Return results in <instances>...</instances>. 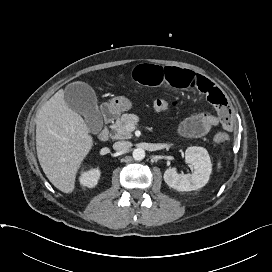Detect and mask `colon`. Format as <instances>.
Segmentation results:
<instances>
[{
	"mask_svg": "<svg viewBox=\"0 0 272 272\" xmlns=\"http://www.w3.org/2000/svg\"><path fill=\"white\" fill-rule=\"evenodd\" d=\"M177 105L176 101H168L165 99H156L152 102V107L156 111H164ZM228 140V135L224 131L215 134L214 141L216 143H225Z\"/></svg>",
	"mask_w": 272,
	"mask_h": 272,
	"instance_id": "5ec220e1",
	"label": "colon"
}]
</instances>
